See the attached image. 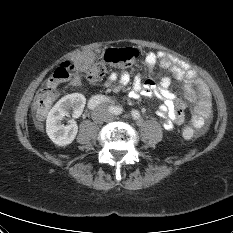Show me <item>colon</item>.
<instances>
[{"label": "colon", "instance_id": "1", "mask_svg": "<svg viewBox=\"0 0 233 233\" xmlns=\"http://www.w3.org/2000/svg\"><path fill=\"white\" fill-rule=\"evenodd\" d=\"M139 56L137 49L112 48L104 54V60L90 64L85 75L89 81H99L107 71V66H129L133 64ZM74 70V64L67 61L62 63L49 77L45 86L39 90L34 101V111L37 118H43L51 108L52 104L59 96V88L62 83L67 81ZM203 132L202 128L187 126L182 134L186 139H192Z\"/></svg>", "mask_w": 233, "mask_h": 233}]
</instances>
